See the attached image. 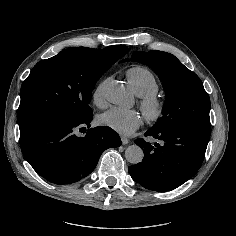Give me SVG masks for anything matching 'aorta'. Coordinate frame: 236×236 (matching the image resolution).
<instances>
[{
  "instance_id": "aorta-1",
  "label": "aorta",
  "mask_w": 236,
  "mask_h": 236,
  "mask_svg": "<svg viewBox=\"0 0 236 236\" xmlns=\"http://www.w3.org/2000/svg\"><path fill=\"white\" fill-rule=\"evenodd\" d=\"M106 98L111 103L120 104L127 100V92L124 87L112 82L105 90ZM125 158L131 164H138L144 158L143 150L138 145H131L125 150Z\"/></svg>"
}]
</instances>
